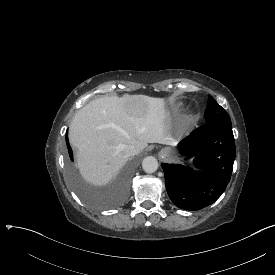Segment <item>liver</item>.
<instances>
[{"instance_id": "obj_1", "label": "liver", "mask_w": 275, "mask_h": 275, "mask_svg": "<svg viewBox=\"0 0 275 275\" xmlns=\"http://www.w3.org/2000/svg\"><path fill=\"white\" fill-rule=\"evenodd\" d=\"M167 120L166 98L124 93L89 102L76 112L68 131L81 179L95 188L111 184L129 160L126 145L140 153L148 143L178 144L167 132Z\"/></svg>"}]
</instances>
